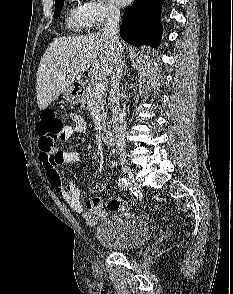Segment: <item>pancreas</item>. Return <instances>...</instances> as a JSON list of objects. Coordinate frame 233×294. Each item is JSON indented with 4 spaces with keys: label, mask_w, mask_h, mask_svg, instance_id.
Here are the masks:
<instances>
[{
    "label": "pancreas",
    "mask_w": 233,
    "mask_h": 294,
    "mask_svg": "<svg viewBox=\"0 0 233 294\" xmlns=\"http://www.w3.org/2000/svg\"><path fill=\"white\" fill-rule=\"evenodd\" d=\"M91 101H96L103 117L105 116V111H104V98L103 94L101 95H95L93 92V88L91 86H86L84 89L83 93V98H82V103L83 104H88ZM106 127L105 121L102 122V129Z\"/></svg>",
    "instance_id": "1"
}]
</instances>
